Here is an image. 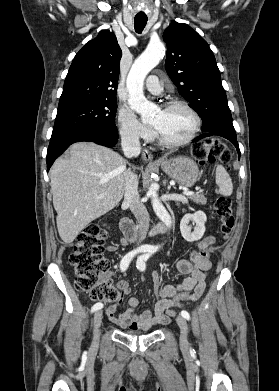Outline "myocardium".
Listing matches in <instances>:
<instances>
[{"instance_id":"myocardium-1","label":"myocardium","mask_w":279,"mask_h":391,"mask_svg":"<svg viewBox=\"0 0 279 391\" xmlns=\"http://www.w3.org/2000/svg\"><path fill=\"white\" fill-rule=\"evenodd\" d=\"M173 107H182V108L186 109L192 115V117L194 119V126H193L191 132L189 133V135L180 141L167 140L161 134V132L155 126H153L154 133H155V136H156L158 142L162 146L167 147V148H177V147H181V146L188 144L189 142H191L194 139V137L196 136L197 132L200 130V127H201V118H200L199 114L197 113V111L189 103H187L186 101H183V100H171V101L166 102L163 105L162 109L167 110V109H170Z\"/></svg>"}]
</instances>
